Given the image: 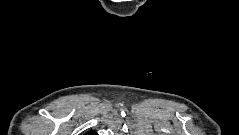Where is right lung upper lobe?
Listing matches in <instances>:
<instances>
[{
    "mask_svg": "<svg viewBox=\"0 0 239 135\" xmlns=\"http://www.w3.org/2000/svg\"><path fill=\"white\" fill-rule=\"evenodd\" d=\"M86 135H95V132L91 130Z\"/></svg>",
    "mask_w": 239,
    "mask_h": 135,
    "instance_id": "right-lung-upper-lobe-1",
    "label": "right lung upper lobe"
}]
</instances>
